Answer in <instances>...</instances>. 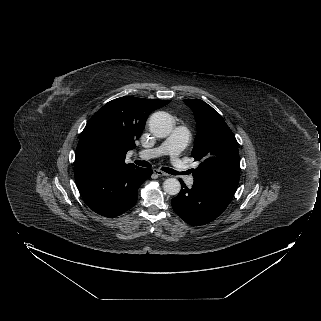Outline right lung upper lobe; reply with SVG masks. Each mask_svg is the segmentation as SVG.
<instances>
[{
    "label": "right lung upper lobe",
    "instance_id": "obj_1",
    "mask_svg": "<svg viewBox=\"0 0 321 321\" xmlns=\"http://www.w3.org/2000/svg\"><path fill=\"white\" fill-rule=\"evenodd\" d=\"M170 100H151L132 96L114 99L99 109L86 124L76 150L95 144L105 156L94 165H84L75 156V180L102 170L136 168L125 164V154L135 148L146 118Z\"/></svg>",
    "mask_w": 321,
    "mask_h": 321
}]
</instances>
